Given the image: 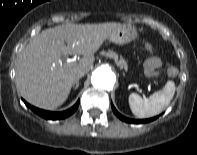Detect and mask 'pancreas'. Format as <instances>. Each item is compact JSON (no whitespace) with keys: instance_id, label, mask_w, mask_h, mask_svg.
I'll list each match as a JSON object with an SVG mask.
<instances>
[{"instance_id":"pancreas-1","label":"pancreas","mask_w":197,"mask_h":155,"mask_svg":"<svg viewBox=\"0 0 197 155\" xmlns=\"http://www.w3.org/2000/svg\"><path fill=\"white\" fill-rule=\"evenodd\" d=\"M106 56L113 58L116 62V64L121 68L127 70V63L122 57H118L117 53L113 52L112 50H109L104 53Z\"/></svg>"}]
</instances>
